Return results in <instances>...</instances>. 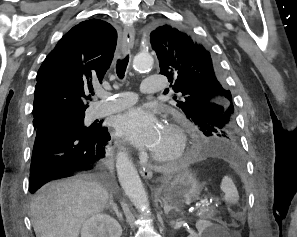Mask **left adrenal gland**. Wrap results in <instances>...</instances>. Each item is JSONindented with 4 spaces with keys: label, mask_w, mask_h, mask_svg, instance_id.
<instances>
[{
    "label": "left adrenal gland",
    "mask_w": 297,
    "mask_h": 237,
    "mask_svg": "<svg viewBox=\"0 0 297 237\" xmlns=\"http://www.w3.org/2000/svg\"><path fill=\"white\" fill-rule=\"evenodd\" d=\"M172 210L180 211L179 208L169 206L166 202H164V212H165V214L168 215L169 212L172 211Z\"/></svg>",
    "instance_id": "a2214340"
}]
</instances>
